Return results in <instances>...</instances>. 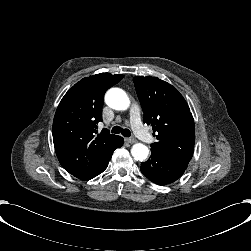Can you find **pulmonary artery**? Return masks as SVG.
I'll return each instance as SVG.
<instances>
[{
	"label": "pulmonary artery",
	"instance_id": "e3ab8cb5",
	"mask_svg": "<svg viewBox=\"0 0 251 251\" xmlns=\"http://www.w3.org/2000/svg\"><path fill=\"white\" fill-rule=\"evenodd\" d=\"M130 125L136 133L137 138L145 140L146 144L153 145L156 142V137L149 134L148 130L144 129L141 121V109L137 104H132L129 110Z\"/></svg>",
	"mask_w": 251,
	"mask_h": 251
}]
</instances>
